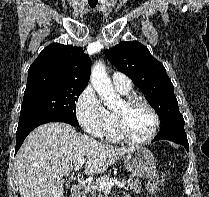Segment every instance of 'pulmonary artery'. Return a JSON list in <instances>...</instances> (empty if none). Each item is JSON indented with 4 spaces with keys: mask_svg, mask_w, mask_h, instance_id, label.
<instances>
[{
    "mask_svg": "<svg viewBox=\"0 0 209 197\" xmlns=\"http://www.w3.org/2000/svg\"><path fill=\"white\" fill-rule=\"evenodd\" d=\"M113 86L118 91L129 92L132 88L131 80L128 76L120 72L112 74Z\"/></svg>",
    "mask_w": 209,
    "mask_h": 197,
    "instance_id": "e3ab8cb5",
    "label": "pulmonary artery"
}]
</instances>
